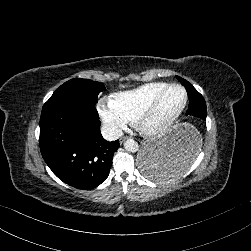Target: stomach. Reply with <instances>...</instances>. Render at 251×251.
Returning <instances> with one entry per match:
<instances>
[{
  "label": "stomach",
  "instance_id": "obj_1",
  "mask_svg": "<svg viewBox=\"0 0 251 251\" xmlns=\"http://www.w3.org/2000/svg\"><path fill=\"white\" fill-rule=\"evenodd\" d=\"M199 131L189 123H180L159 138L145 140L138 154L143 175L158 182L184 173L199 154Z\"/></svg>",
  "mask_w": 251,
  "mask_h": 251
}]
</instances>
